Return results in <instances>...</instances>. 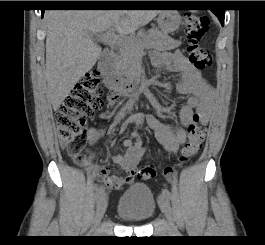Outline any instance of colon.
Listing matches in <instances>:
<instances>
[{
    "mask_svg": "<svg viewBox=\"0 0 265 245\" xmlns=\"http://www.w3.org/2000/svg\"><path fill=\"white\" fill-rule=\"evenodd\" d=\"M184 25L186 52L190 62L201 70L211 67L213 60L210 52L199 44L207 32V20L204 17L187 16ZM100 79V71L94 68L71 90L55 115L61 145L77 162L83 160L82 151L87 141V119L93 117L97 111L111 109L114 106L100 86ZM136 122L138 126L139 121ZM205 132L206 124L200 116L195 115L188 130V139L180 153L179 164L176 167L164 168L161 173L163 177H173L182 164L189 162L201 152ZM157 172L156 166L149 164L140 167L137 175L139 179L149 180L156 177Z\"/></svg>",
    "mask_w": 265,
    "mask_h": 245,
    "instance_id": "obj_1",
    "label": "colon"
}]
</instances>
